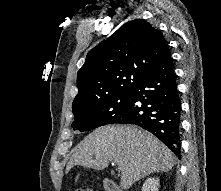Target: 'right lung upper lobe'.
<instances>
[{
	"instance_id": "right-lung-upper-lobe-1",
	"label": "right lung upper lobe",
	"mask_w": 221,
	"mask_h": 191,
	"mask_svg": "<svg viewBox=\"0 0 221 191\" xmlns=\"http://www.w3.org/2000/svg\"><path fill=\"white\" fill-rule=\"evenodd\" d=\"M169 53L162 33L147 21L136 19L125 23L87 54L78 71L73 112L132 91Z\"/></svg>"
}]
</instances>
